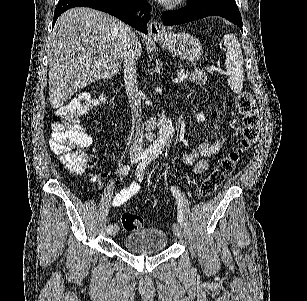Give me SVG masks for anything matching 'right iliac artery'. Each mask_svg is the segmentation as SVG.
<instances>
[{
  "label": "right iliac artery",
  "mask_w": 307,
  "mask_h": 301,
  "mask_svg": "<svg viewBox=\"0 0 307 301\" xmlns=\"http://www.w3.org/2000/svg\"><path fill=\"white\" fill-rule=\"evenodd\" d=\"M141 159H142V161H144V160H147V155H142L141 156ZM129 170H130V166L127 164V165H124V166H122L121 168H120V174H122V175H127L128 173H129ZM112 229H113V226L110 224V225H108V227H107V232L108 233H111V231H112Z\"/></svg>",
  "instance_id": "obj_1"
}]
</instances>
